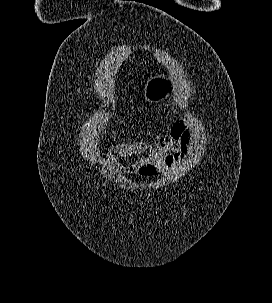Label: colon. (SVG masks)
Wrapping results in <instances>:
<instances>
[{"instance_id": "1", "label": "colon", "mask_w": 272, "mask_h": 303, "mask_svg": "<svg viewBox=\"0 0 272 303\" xmlns=\"http://www.w3.org/2000/svg\"><path fill=\"white\" fill-rule=\"evenodd\" d=\"M141 174L146 176H153L155 174V167L148 165L141 169Z\"/></svg>"}]
</instances>
